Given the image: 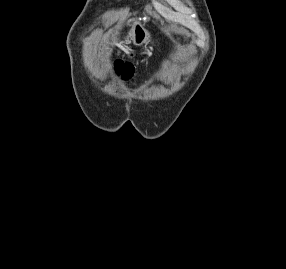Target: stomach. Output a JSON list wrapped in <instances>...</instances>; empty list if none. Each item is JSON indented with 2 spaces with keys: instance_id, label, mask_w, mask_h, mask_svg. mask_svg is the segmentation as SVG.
I'll use <instances>...</instances> for the list:
<instances>
[{
  "instance_id": "1",
  "label": "stomach",
  "mask_w": 286,
  "mask_h": 269,
  "mask_svg": "<svg viewBox=\"0 0 286 269\" xmlns=\"http://www.w3.org/2000/svg\"><path fill=\"white\" fill-rule=\"evenodd\" d=\"M128 38L133 44L140 46L149 42L150 34L141 23L136 22L130 30Z\"/></svg>"
}]
</instances>
